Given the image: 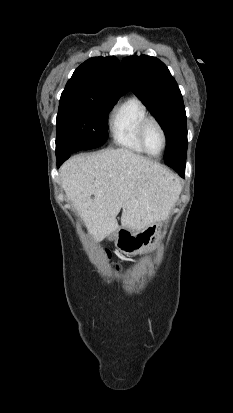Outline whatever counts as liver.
I'll return each instance as SVG.
<instances>
[{"label": "liver", "mask_w": 233, "mask_h": 413, "mask_svg": "<svg viewBox=\"0 0 233 413\" xmlns=\"http://www.w3.org/2000/svg\"><path fill=\"white\" fill-rule=\"evenodd\" d=\"M62 188L96 241L121 227L139 231L166 220L182 187L162 165L125 149L70 158L60 169Z\"/></svg>", "instance_id": "liver-1"}]
</instances>
